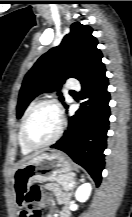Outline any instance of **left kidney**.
I'll use <instances>...</instances> for the list:
<instances>
[{
	"label": "left kidney",
	"instance_id": "left-kidney-1",
	"mask_svg": "<svg viewBox=\"0 0 132 217\" xmlns=\"http://www.w3.org/2000/svg\"><path fill=\"white\" fill-rule=\"evenodd\" d=\"M92 191V186L90 183H84L79 186L75 192V198L79 202H85L89 198Z\"/></svg>",
	"mask_w": 132,
	"mask_h": 217
}]
</instances>
